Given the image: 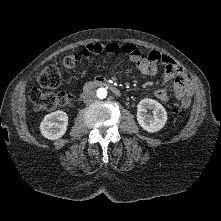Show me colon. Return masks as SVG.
Segmentation results:
<instances>
[{
	"label": "colon",
	"instance_id": "1",
	"mask_svg": "<svg viewBox=\"0 0 221 221\" xmlns=\"http://www.w3.org/2000/svg\"><path fill=\"white\" fill-rule=\"evenodd\" d=\"M63 66L67 69L74 68L78 63V57L69 54L63 59ZM38 83L42 88L53 89L61 84V75L57 67L48 66L44 68L39 77ZM30 101L36 111H51L58 107L69 105L72 102V96L65 92L52 93L44 92L39 88H33L29 92ZM191 101L188 98L170 105V112L175 115H183L190 107Z\"/></svg>",
	"mask_w": 221,
	"mask_h": 221
}]
</instances>
